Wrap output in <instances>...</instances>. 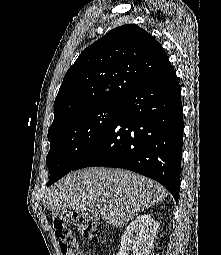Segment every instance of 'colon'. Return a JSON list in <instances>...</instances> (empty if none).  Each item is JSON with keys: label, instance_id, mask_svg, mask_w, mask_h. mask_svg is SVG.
Segmentation results:
<instances>
[{"label": "colon", "instance_id": "5ec220e1", "mask_svg": "<svg viewBox=\"0 0 221 255\" xmlns=\"http://www.w3.org/2000/svg\"><path fill=\"white\" fill-rule=\"evenodd\" d=\"M51 223L64 255H82L71 232V226H76L83 237L90 242H96L99 238V222L89 214L70 211L52 212Z\"/></svg>", "mask_w": 221, "mask_h": 255}]
</instances>
